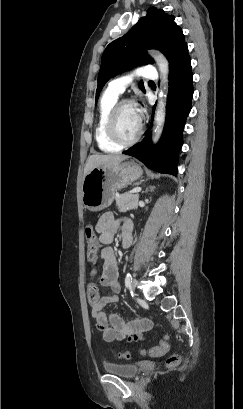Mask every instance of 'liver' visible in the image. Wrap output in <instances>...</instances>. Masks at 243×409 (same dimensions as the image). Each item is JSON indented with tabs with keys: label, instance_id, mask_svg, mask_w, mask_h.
<instances>
[{
	"label": "liver",
	"instance_id": "liver-1",
	"mask_svg": "<svg viewBox=\"0 0 243 409\" xmlns=\"http://www.w3.org/2000/svg\"><path fill=\"white\" fill-rule=\"evenodd\" d=\"M128 156L126 155H102V154H94L88 157L85 168H84V177L87 173H89L93 168H107L118 165L123 160L127 159Z\"/></svg>",
	"mask_w": 243,
	"mask_h": 409
}]
</instances>
